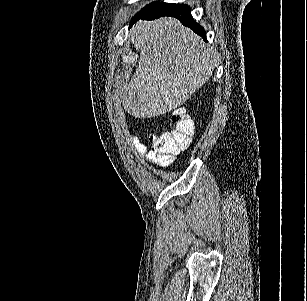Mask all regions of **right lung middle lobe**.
<instances>
[{"label":"right lung middle lobe","instance_id":"right-lung-middle-lobe-1","mask_svg":"<svg viewBox=\"0 0 307 301\" xmlns=\"http://www.w3.org/2000/svg\"><path fill=\"white\" fill-rule=\"evenodd\" d=\"M159 2H152L150 4H148L146 7H144L140 12H138L134 18L132 19L131 21V24L130 26L143 14L145 13L146 11H148L149 9H151L153 6H155L156 4H158Z\"/></svg>","mask_w":307,"mask_h":301}]
</instances>
